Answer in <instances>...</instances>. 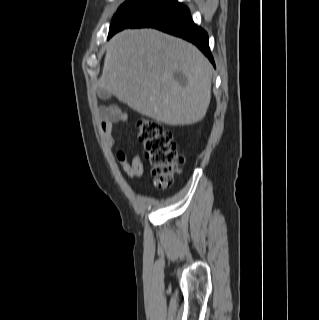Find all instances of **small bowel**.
<instances>
[{
  "label": "small bowel",
  "instance_id": "1",
  "mask_svg": "<svg viewBox=\"0 0 319 320\" xmlns=\"http://www.w3.org/2000/svg\"><path fill=\"white\" fill-rule=\"evenodd\" d=\"M127 120L125 113L119 110H106L101 113L100 117V133L105 146L109 149L115 146L113 134L114 124ZM117 159L122 165L124 174L130 179L140 178L144 168L141 157L138 153L129 155L124 150L117 152Z\"/></svg>",
  "mask_w": 319,
  "mask_h": 320
}]
</instances>
